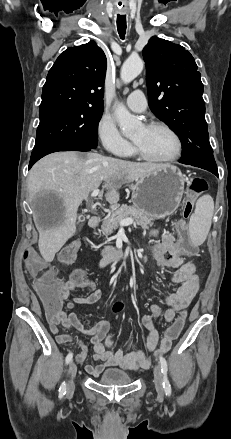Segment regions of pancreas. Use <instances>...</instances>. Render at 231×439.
Masks as SVG:
<instances>
[{"label": "pancreas", "mask_w": 231, "mask_h": 439, "mask_svg": "<svg viewBox=\"0 0 231 439\" xmlns=\"http://www.w3.org/2000/svg\"><path fill=\"white\" fill-rule=\"evenodd\" d=\"M129 217L134 218L135 224L141 226L143 229H148L154 224L152 222V219L148 215L137 210L135 207L123 205L121 207L115 208L111 212V214L104 219L101 229H99V233L105 236L111 235L118 228L121 220ZM110 251L111 248L106 247L102 251V255H107L110 253Z\"/></svg>", "instance_id": "cf45deb5"}]
</instances>
